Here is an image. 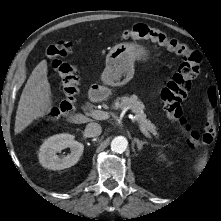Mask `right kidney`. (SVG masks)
Returning a JSON list of instances; mask_svg holds the SVG:
<instances>
[{
	"label": "right kidney",
	"mask_w": 221,
	"mask_h": 221,
	"mask_svg": "<svg viewBox=\"0 0 221 221\" xmlns=\"http://www.w3.org/2000/svg\"><path fill=\"white\" fill-rule=\"evenodd\" d=\"M70 148L71 153L65 157L56 154L65 148ZM84 145L74 140L70 134H57L49 137L41 145L39 161L44 168L62 170L75 165L83 154Z\"/></svg>",
	"instance_id": "ca27d5eb"
}]
</instances>
